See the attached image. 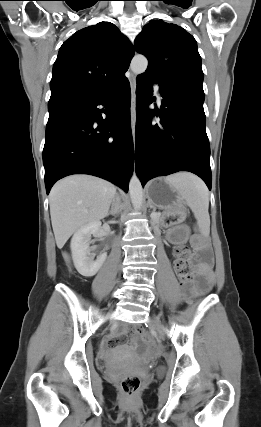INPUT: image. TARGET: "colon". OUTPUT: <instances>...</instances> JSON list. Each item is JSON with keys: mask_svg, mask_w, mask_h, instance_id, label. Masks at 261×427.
Here are the masks:
<instances>
[{"mask_svg": "<svg viewBox=\"0 0 261 427\" xmlns=\"http://www.w3.org/2000/svg\"><path fill=\"white\" fill-rule=\"evenodd\" d=\"M187 254L188 251L185 247H178L175 250V268L180 279L183 282L187 281L190 278L188 266L185 261V257ZM136 334L139 336V339L142 343L147 344L149 342L147 335L142 329H136ZM120 385L123 393L126 396L131 397L138 392L141 385V381L139 377L131 375L124 377Z\"/></svg>", "mask_w": 261, "mask_h": 427, "instance_id": "obj_1", "label": "colon"}]
</instances>
